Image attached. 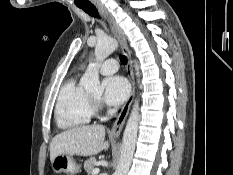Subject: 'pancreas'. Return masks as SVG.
Listing matches in <instances>:
<instances>
[{
  "label": "pancreas",
  "mask_w": 233,
  "mask_h": 175,
  "mask_svg": "<svg viewBox=\"0 0 233 175\" xmlns=\"http://www.w3.org/2000/svg\"><path fill=\"white\" fill-rule=\"evenodd\" d=\"M96 164H97V160H96L95 157L89 158L88 160H86L84 162V169H85V171L89 175L93 174V170H94V167L96 166Z\"/></svg>",
  "instance_id": "obj_1"
}]
</instances>
